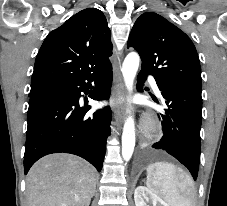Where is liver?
Wrapping results in <instances>:
<instances>
[{"instance_id":"1","label":"liver","mask_w":227,"mask_h":206,"mask_svg":"<svg viewBox=\"0 0 227 206\" xmlns=\"http://www.w3.org/2000/svg\"><path fill=\"white\" fill-rule=\"evenodd\" d=\"M94 190L92 166L69 154L43 157L26 178L27 206H89Z\"/></svg>"}]
</instances>
